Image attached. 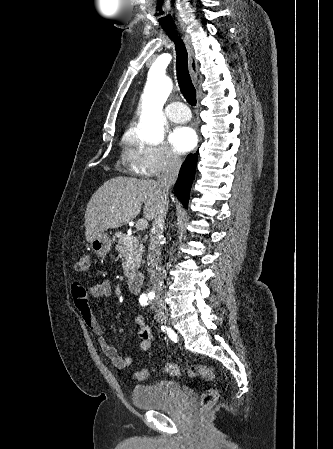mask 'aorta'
I'll return each mask as SVG.
<instances>
[{
    "instance_id": "obj_1",
    "label": "aorta",
    "mask_w": 333,
    "mask_h": 449,
    "mask_svg": "<svg viewBox=\"0 0 333 449\" xmlns=\"http://www.w3.org/2000/svg\"><path fill=\"white\" fill-rule=\"evenodd\" d=\"M172 87V81L164 74L163 69L153 64L142 95V115L138 132L142 139L151 143L163 141V108Z\"/></svg>"
}]
</instances>
